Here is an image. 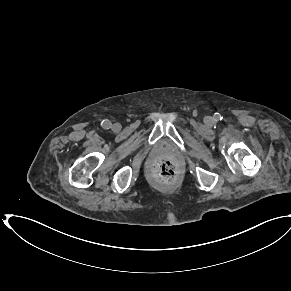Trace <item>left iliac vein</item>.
<instances>
[{
	"label": "left iliac vein",
	"instance_id": "obj_1",
	"mask_svg": "<svg viewBox=\"0 0 291 291\" xmlns=\"http://www.w3.org/2000/svg\"><path fill=\"white\" fill-rule=\"evenodd\" d=\"M210 121H211V118H210V117H208V118H207V122H210Z\"/></svg>",
	"mask_w": 291,
	"mask_h": 291
}]
</instances>
